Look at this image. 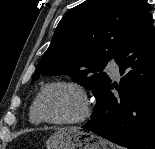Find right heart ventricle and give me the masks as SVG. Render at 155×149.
Instances as JSON below:
<instances>
[{
  "label": "right heart ventricle",
  "instance_id": "1",
  "mask_svg": "<svg viewBox=\"0 0 155 149\" xmlns=\"http://www.w3.org/2000/svg\"><path fill=\"white\" fill-rule=\"evenodd\" d=\"M29 118H30L31 123H33L35 125H39L42 123V121L40 120V118L38 117L37 113L34 110L33 104L30 108Z\"/></svg>",
  "mask_w": 155,
  "mask_h": 149
}]
</instances>
